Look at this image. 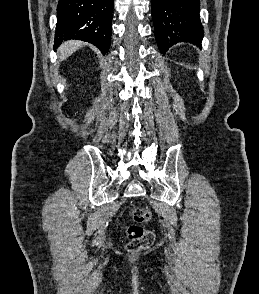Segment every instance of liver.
Here are the masks:
<instances>
[{"label":"liver","instance_id":"6515ba94","mask_svg":"<svg viewBox=\"0 0 259 294\" xmlns=\"http://www.w3.org/2000/svg\"><path fill=\"white\" fill-rule=\"evenodd\" d=\"M82 44V42L74 40H70L63 43L58 49L60 61H63L70 55H72L76 50H78L82 46Z\"/></svg>","mask_w":259,"mask_h":294}]
</instances>
